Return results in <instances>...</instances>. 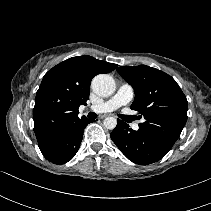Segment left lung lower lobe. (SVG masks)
<instances>
[{"label": "left lung lower lobe", "mask_w": 211, "mask_h": 211, "mask_svg": "<svg viewBox=\"0 0 211 211\" xmlns=\"http://www.w3.org/2000/svg\"><path fill=\"white\" fill-rule=\"evenodd\" d=\"M117 121L110 137L130 161L139 165L151 164L162 159L171 149L152 134L142 129L132 130L125 122Z\"/></svg>", "instance_id": "1"}]
</instances>
